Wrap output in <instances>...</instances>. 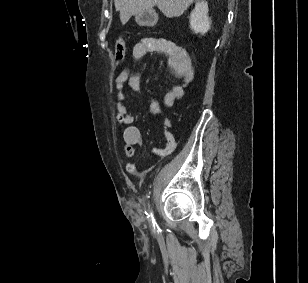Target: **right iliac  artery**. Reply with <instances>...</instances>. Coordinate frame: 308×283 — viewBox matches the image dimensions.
<instances>
[{
	"instance_id": "right-iliac-artery-1",
	"label": "right iliac artery",
	"mask_w": 308,
	"mask_h": 283,
	"mask_svg": "<svg viewBox=\"0 0 308 283\" xmlns=\"http://www.w3.org/2000/svg\"><path fill=\"white\" fill-rule=\"evenodd\" d=\"M148 199L150 198V196L147 197ZM145 214L147 216V218L149 219V221L153 224V226L155 227V219L153 217L152 211H151V203L150 200L147 201L146 203V210H145Z\"/></svg>"
}]
</instances>
